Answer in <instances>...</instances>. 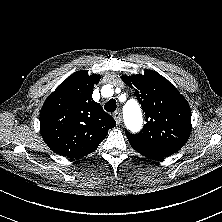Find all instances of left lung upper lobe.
Masks as SVG:
<instances>
[{
  "label": "left lung upper lobe",
  "instance_id": "5c2ea615",
  "mask_svg": "<svg viewBox=\"0 0 222 222\" xmlns=\"http://www.w3.org/2000/svg\"><path fill=\"white\" fill-rule=\"evenodd\" d=\"M121 79L135 89L146 116L140 133L125 130L128 140L151 146L183 147L191 132V111L184 96L155 71Z\"/></svg>",
  "mask_w": 222,
  "mask_h": 222
}]
</instances>
